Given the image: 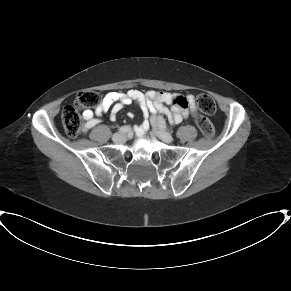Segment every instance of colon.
I'll return each mask as SVG.
<instances>
[{"label":"colon","mask_w":291,"mask_h":291,"mask_svg":"<svg viewBox=\"0 0 291 291\" xmlns=\"http://www.w3.org/2000/svg\"><path fill=\"white\" fill-rule=\"evenodd\" d=\"M101 94L96 90H83L76 95L73 105L66 106L61 115L62 125L70 137H76L83 129L84 123L80 111L99 107ZM200 109L207 114L216 111V103L209 94H200L197 98ZM198 126L205 137L214 134V127L210 120L203 115L197 117Z\"/></svg>","instance_id":"1"}]
</instances>
